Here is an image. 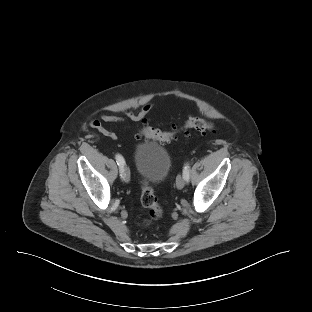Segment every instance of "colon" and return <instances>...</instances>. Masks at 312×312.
<instances>
[{
  "instance_id": "5ec220e1",
  "label": "colon",
  "mask_w": 312,
  "mask_h": 312,
  "mask_svg": "<svg viewBox=\"0 0 312 312\" xmlns=\"http://www.w3.org/2000/svg\"><path fill=\"white\" fill-rule=\"evenodd\" d=\"M214 130L215 125L213 122L203 118H192L186 121L183 125H174L170 131L145 125L140 129L137 135L149 140L165 142L174 139L179 133H188L190 131L205 133ZM141 203L147 209V216L143 221L145 226L162 218L164 214L163 208L159 204L153 188L146 181L142 183Z\"/></svg>"
}]
</instances>
